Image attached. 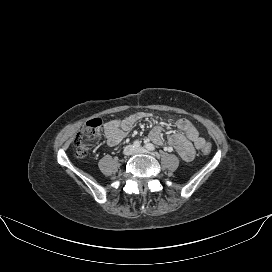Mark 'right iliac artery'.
<instances>
[{
	"instance_id": "82829eb1",
	"label": "right iliac artery",
	"mask_w": 272,
	"mask_h": 272,
	"mask_svg": "<svg viewBox=\"0 0 272 272\" xmlns=\"http://www.w3.org/2000/svg\"><path fill=\"white\" fill-rule=\"evenodd\" d=\"M133 145H134V147L138 148V147H140V142L139 141H135L133 143Z\"/></svg>"
}]
</instances>
